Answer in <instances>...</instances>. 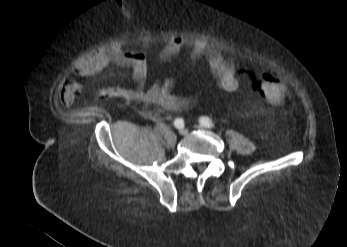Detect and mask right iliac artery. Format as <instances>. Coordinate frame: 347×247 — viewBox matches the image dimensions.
<instances>
[{
  "label": "right iliac artery",
  "mask_w": 347,
  "mask_h": 247,
  "mask_svg": "<svg viewBox=\"0 0 347 247\" xmlns=\"http://www.w3.org/2000/svg\"><path fill=\"white\" fill-rule=\"evenodd\" d=\"M174 125L176 128H183L184 127V120L182 118H177L174 121Z\"/></svg>",
  "instance_id": "1"
}]
</instances>
